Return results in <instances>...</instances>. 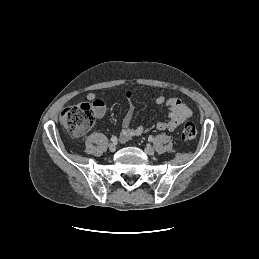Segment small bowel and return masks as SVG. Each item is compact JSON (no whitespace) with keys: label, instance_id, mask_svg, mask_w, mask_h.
<instances>
[{"label":"small bowel","instance_id":"small-bowel-1","mask_svg":"<svg viewBox=\"0 0 259 259\" xmlns=\"http://www.w3.org/2000/svg\"><path fill=\"white\" fill-rule=\"evenodd\" d=\"M106 93H94L91 92L87 95V99L95 104V115L98 118L103 117L105 113V104L102 97ZM126 98L128 100L127 112L123 119V127L120 134V140L126 142L133 137L140 136L148 132L151 128L159 130L174 131L178 128L186 119L192 116V110L179 98H166L162 92H159L155 97V102L158 105H164L168 108L169 117L166 121H159L151 128H147L143 125L137 127H131V122L134 116L135 107L132 102V92H126Z\"/></svg>","mask_w":259,"mask_h":259}]
</instances>
